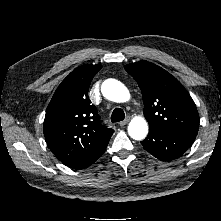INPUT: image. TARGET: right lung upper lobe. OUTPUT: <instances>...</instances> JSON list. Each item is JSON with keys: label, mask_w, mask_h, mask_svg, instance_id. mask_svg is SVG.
<instances>
[{"label": "right lung upper lobe", "mask_w": 221, "mask_h": 221, "mask_svg": "<svg viewBox=\"0 0 221 221\" xmlns=\"http://www.w3.org/2000/svg\"><path fill=\"white\" fill-rule=\"evenodd\" d=\"M101 65L74 69L59 85L46 110L45 139L56 157L75 167L104 150L114 132L100 122L88 89Z\"/></svg>", "instance_id": "cb5924a9"}]
</instances>
